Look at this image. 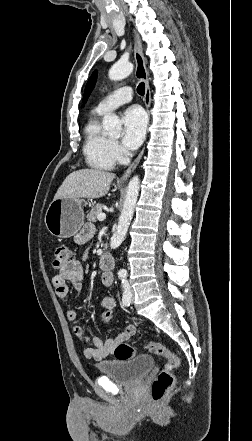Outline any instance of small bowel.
Listing matches in <instances>:
<instances>
[{
	"label": "small bowel",
	"mask_w": 252,
	"mask_h": 441,
	"mask_svg": "<svg viewBox=\"0 0 252 441\" xmlns=\"http://www.w3.org/2000/svg\"><path fill=\"white\" fill-rule=\"evenodd\" d=\"M94 233V229L91 226H85L75 237V241L79 244H83L88 241ZM84 277L83 267L81 263L73 259L66 266L62 267L59 272L53 277L52 284L55 292L60 298H67L69 289L68 283H71L75 291L79 294L82 291V280ZM102 284L106 287L113 285L114 278L111 272H103L101 276ZM107 304H113L116 306V301L111 296L104 297L100 302V308L105 307ZM67 319L72 322L78 320V314L74 309H68L66 312ZM136 332L134 325H128L125 330L114 338L102 340L98 337L88 338L85 336L84 329L80 324H76L73 328L74 335L83 341L91 342L93 346L84 350V355L88 359L96 361L103 360L114 353L116 347L129 340Z\"/></svg>",
	"instance_id": "small-bowel-1"
}]
</instances>
